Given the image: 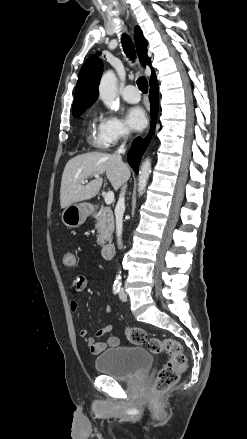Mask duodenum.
<instances>
[{"instance_id":"obj_1","label":"duodenum","mask_w":247,"mask_h":439,"mask_svg":"<svg viewBox=\"0 0 247 439\" xmlns=\"http://www.w3.org/2000/svg\"><path fill=\"white\" fill-rule=\"evenodd\" d=\"M115 251V247L112 243L105 244L101 249V254L104 258L110 259L112 258Z\"/></svg>"}]
</instances>
